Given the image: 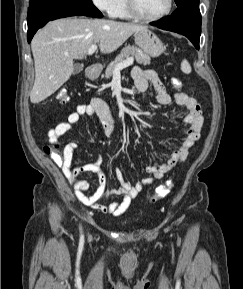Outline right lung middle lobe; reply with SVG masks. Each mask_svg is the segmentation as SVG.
<instances>
[{"label": "right lung middle lobe", "mask_w": 243, "mask_h": 289, "mask_svg": "<svg viewBox=\"0 0 243 289\" xmlns=\"http://www.w3.org/2000/svg\"><path fill=\"white\" fill-rule=\"evenodd\" d=\"M80 1H84V2H87V3H92V0H80Z\"/></svg>", "instance_id": "dd1d6c3e"}]
</instances>
